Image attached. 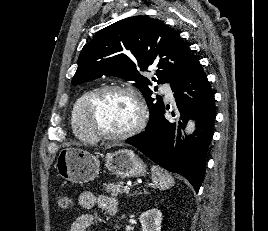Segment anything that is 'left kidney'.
I'll return each mask as SVG.
<instances>
[{
    "label": "left kidney",
    "instance_id": "obj_1",
    "mask_svg": "<svg viewBox=\"0 0 268 231\" xmlns=\"http://www.w3.org/2000/svg\"><path fill=\"white\" fill-rule=\"evenodd\" d=\"M162 213L153 208L140 215L142 231H161Z\"/></svg>",
    "mask_w": 268,
    "mask_h": 231
}]
</instances>
